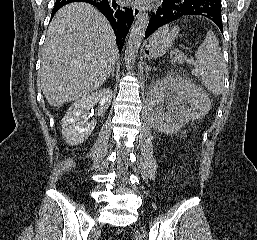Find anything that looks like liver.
<instances>
[{
  "instance_id": "obj_1",
  "label": "liver",
  "mask_w": 257,
  "mask_h": 240,
  "mask_svg": "<svg viewBox=\"0 0 257 240\" xmlns=\"http://www.w3.org/2000/svg\"><path fill=\"white\" fill-rule=\"evenodd\" d=\"M41 55L42 91L58 107L97 90L114 70L118 49L107 19L76 2L54 15Z\"/></svg>"
}]
</instances>
